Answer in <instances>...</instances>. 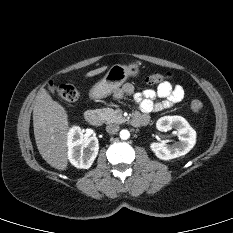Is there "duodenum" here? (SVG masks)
Instances as JSON below:
<instances>
[{
	"mask_svg": "<svg viewBox=\"0 0 233 233\" xmlns=\"http://www.w3.org/2000/svg\"><path fill=\"white\" fill-rule=\"evenodd\" d=\"M83 121L92 126H98L100 124V118L98 114L93 110H87L83 114ZM141 123V121H140Z\"/></svg>",
	"mask_w": 233,
	"mask_h": 233,
	"instance_id": "1",
	"label": "duodenum"
}]
</instances>
